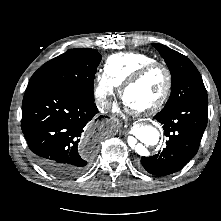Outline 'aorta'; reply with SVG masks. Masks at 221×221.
<instances>
[{"label": "aorta", "mask_w": 221, "mask_h": 221, "mask_svg": "<svg viewBox=\"0 0 221 221\" xmlns=\"http://www.w3.org/2000/svg\"><path fill=\"white\" fill-rule=\"evenodd\" d=\"M133 133L140 142L147 145H155L159 141V131L152 125L139 124L134 128ZM142 143L133 142L131 143V147L136 153L145 155L146 148Z\"/></svg>", "instance_id": "1"}]
</instances>
